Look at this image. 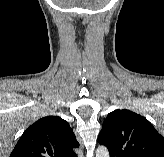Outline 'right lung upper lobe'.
<instances>
[{
  "label": "right lung upper lobe",
  "mask_w": 164,
  "mask_h": 157,
  "mask_svg": "<svg viewBox=\"0 0 164 157\" xmlns=\"http://www.w3.org/2000/svg\"><path fill=\"white\" fill-rule=\"evenodd\" d=\"M79 143L68 122L47 116L32 124L21 136L10 157H73Z\"/></svg>",
  "instance_id": "right-lung-upper-lobe-1"
}]
</instances>
